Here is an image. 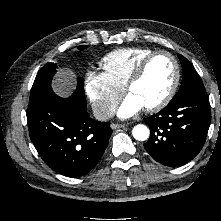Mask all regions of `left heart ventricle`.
Wrapping results in <instances>:
<instances>
[{"label":"left heart ventricle","mask_w":221,"mask_h":221,"mask_svg":"<svg viewBox=\"0 0 221 221\" xmlns=\"http://www.w3.org/2000/svg\"><path fill=\"white\" fill-rule=\"evenodd\" d=\"M174 77V65L166 55H158L147 66L139 82L129 94L135 96L144 107L161 100L169 90Z\"/></svg>","instance_id":"b2bd125f"}]
</instances>
